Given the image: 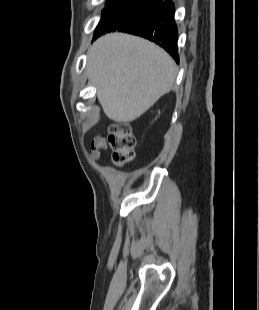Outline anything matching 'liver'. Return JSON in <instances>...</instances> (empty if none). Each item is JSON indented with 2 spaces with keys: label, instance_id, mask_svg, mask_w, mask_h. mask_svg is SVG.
<instances>
[{
  "label": "liver",
  "instance_id": "obj_1",
  "mask_svg": "<svg viewBox=\"0 0 259 310\" xmlns=\"http://www.w3.org/2000/svg\"><path fill=\"white\" fill-rule=\"evenodd\" d=\"M88 79L106 116L132 122L174 86L177 68L162 48L145 39L110 33L88 51Z\"/></svg>",
  "mask_w": 259,
  "mask_h": 310
}]
</instances>
